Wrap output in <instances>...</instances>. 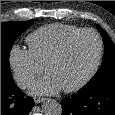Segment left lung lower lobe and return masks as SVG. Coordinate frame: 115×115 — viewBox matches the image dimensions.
Instances as JSON below:
<instances>
[{
  "mask_svg": "<svg viewBox=\"0 0 115 115\" xmlns=\"http://www.w3.org/2000/svg\"><path fill=\"white\" fill-rule=\"evenodd\" d=\"M62 115H115V82L78 91L62 100Z\"/></svg>",
  "mask_w": 115,
  "mask_h": 115,
  "instance_id": "1",
  "label": "left lung lower lobe"
}]
</instances>
